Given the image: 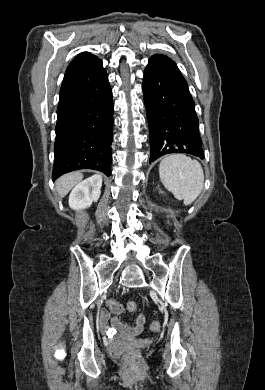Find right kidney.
<instances>
[{
  "label": "right kidney",
  "instance_id": "ca27d5eb",
  "mask_svg": "<svg viewBox=\"0 0 265 390\" xmlns=\"http://www.w3.org/2000/svg\"><path fill=\"white\" fill-rule=\"evenodd\" d=\"M102 176L93 175L80 182L69 195V206L74 210L85 209L97 202L101 194Z\"/></svg>",
  "mask_w": 265,
  "mask_h": 390
}]
</instances>
